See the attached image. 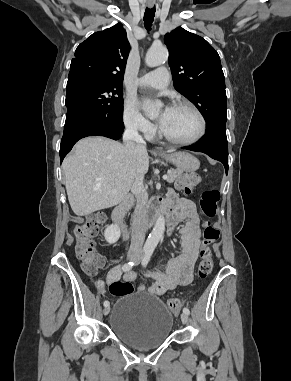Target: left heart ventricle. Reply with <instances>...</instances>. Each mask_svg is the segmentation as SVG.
I'll use <instances>...</instances> for the list:
<instances>
[{"instance_id": "b2bd125f", "label": "left heart ventricle", "mask_w": 291, "mask_h": 381, "mask_svg": "<svg viewBox=\"0 0 291 381\" xmlns=\"http://www.w3.org/2000/svg\"><path fill=\"white\" fill-rule=\"evenodd\" d=\"M160 128L169 136L176 139H190L200 128L198 116L189 108H171L168 112L158 115Z\"/></svg>"}]
</instances>
